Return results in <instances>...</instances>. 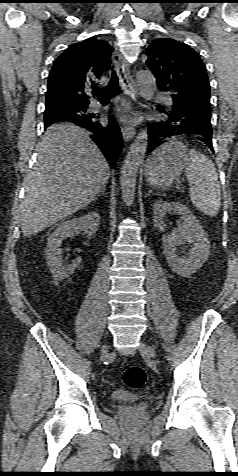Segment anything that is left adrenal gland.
<instances>
[{
  "instance_id": "a2214340",
  "label": "left adrenal gland",
  "mask_w": 238,
  "mask_h": 476,
  "mask_svg": "<svg viewBox=\"0 0 238 476\" xmlns=\"http://www.w3.org/2000/svg\"><path fill=\"white\" fill-rule=\"evenodd\" d=\"M150 194H156L157 195V193H153L152 190H149L148 193L146 194V196H149Z\"/></svg>"
}]
</instances>
